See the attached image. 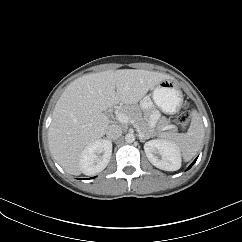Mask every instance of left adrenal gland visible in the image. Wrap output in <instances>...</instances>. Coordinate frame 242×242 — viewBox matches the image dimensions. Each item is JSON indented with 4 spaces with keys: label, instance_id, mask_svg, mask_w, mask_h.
Returning <instances> with one entry per match:
<instances>
[{
    "label": "left adrenal gland",
    "instance_id": "obj_1",
    "mask_svg": "<svg viewBox=\"0 0 242 242\" xmlns=\"http://www.w3.org/2000/svg\"><path fill=\"white\" fill-rule=\"evenodd\" d=\"M139 139H140V142H145L146 139H148V137L144 136V137H140L139 136Z\"/></svg>",
    "mask_w": 242,
    "mask_h": 242
}]
</instances>
